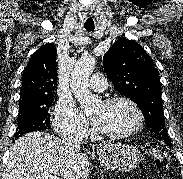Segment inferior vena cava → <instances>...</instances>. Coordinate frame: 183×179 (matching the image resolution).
Segmentation results:
<instances>
[{
    "instance_id": "1",
    "label": "inferior vena cava",
    "mask_w": 183,
    "mask_h": 179,
    "mask_svg": "<svg viewBox=\"0 0 183 179\" xmlns=\"http://www.w3.org/2000/svg\"><path fill=\"white\" fill-rule=\"evenodd\" d=\"M64 147L72 153H77L81 147L82 137L80 132H71L62 136Z\"/></svg>"
}]
</instances>
